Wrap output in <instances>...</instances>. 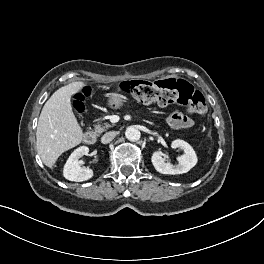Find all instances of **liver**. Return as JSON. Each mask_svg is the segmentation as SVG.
I'll return each mask as SVG.
<instances>
[{"instance_id":"liver-1","label":"liver","mask_w":264,"mask_h":264,"mask_svg":"<svg viewBox=\"0 0 264 264\" xmlns=\"http://www.w3.org/2000/svg\"><path fill=\"white\" fill-rule=\"evenodd\" d=\"M87 84L72 82L59 88L44 104L37 132L36 147L43 163L52 168L59 156L79 145L83 131L72 111L71 97Z\"/></svg>"}]
</instances>
